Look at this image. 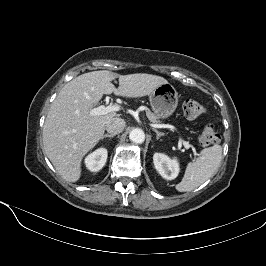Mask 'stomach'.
I'll return each mask as SVG.
<instances>
[{"label":"stomach","mask_w":266,"mask_h":266,"mask_svg":"<svg viewBox=\"0 0 266 266\" xmlns=\"http://www.w3.org/2000/svg\"><path fill=\"white\" fill-rule=\"evenodd\" d=\"M152 110L158 119L168 118L178 104V94L174 86L165 83L157 87L149 96Z\"/></svg>","instance_id":"1"}]
</instances>
